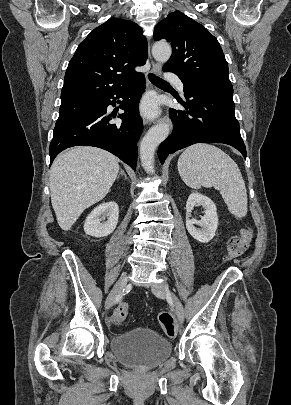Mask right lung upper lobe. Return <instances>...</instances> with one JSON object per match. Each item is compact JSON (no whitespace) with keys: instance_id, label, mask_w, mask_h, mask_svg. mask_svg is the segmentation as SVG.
<instances>
[{"instance_id":"cb5924a9","label":"right lung upper lobe","mask_w":291,"mask_h":405,"mask_svg":"<svg viewBox=\"0 0 291 405\" xmlns=\"http://www.w3.org/2000/svg\"><path fill=\"white\" fill-rule=\"evenodd\" d=\"M132 21L110 18L95 28L70 60L61 92L62 103L98 100L131 82L147 59V41Z\"/></svg>"}]
</instances>
